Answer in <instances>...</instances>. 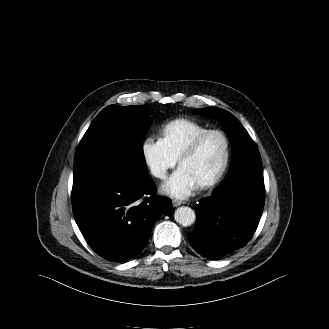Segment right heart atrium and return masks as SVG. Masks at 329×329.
Instances as JSON below:
<instances>
[{"label": "right heart atrium", "mask_w": 329, "mask_h": 329, "mask_svg": "<svg viewBox=\"0 0 329 329\" xmlns=\"http://www.w3.org/2000/svg\"><path fill=\"white\" fill-rule=\"evenodd\" d=\"M141 151L151 174L158 179H164L177 163V159L161 139L146 137L142 142Z\"/></svg>", "instance_id": "d8ad5b80"}]
</instances>
